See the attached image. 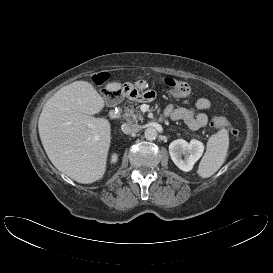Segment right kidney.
Instances as JSON below:
<instances>
[{"label":"right kidney","instance_id":"right-kidney-1","mask_svg":"<svg viewBox=\"0 0 273 273\" xmlns=\"http://www.w3.org/2000/svg\"><path fill=\"white\" fill-rule=\"evenodd\" d=\"M118 156L116 154L112 155L111 162L115 163L117 161Z\"/></svg>","mask_w":273,"mask_h":273}]
</instances>
